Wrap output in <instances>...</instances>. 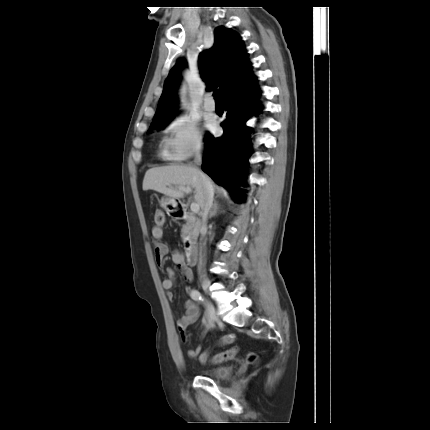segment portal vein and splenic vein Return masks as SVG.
I'll return each instance as SVG.
<instances>
[{
    "label": "portal vein and splenic vein",
    "mask_w": 430,
    "mask_h": 430,
    "mask_svg": "<svg viewBox=\"0 0 430 430\" xmlns=\"http://www.w3.org/2000/svg\"><path fill=\"white\" fill-rule=\"evenodd\" d=\"M178 189L181 190V191H184L186 193H190L191 192V187H189V186H187V187L180 186V187H178ZM190 209H191V211L193 213L198 212L199 211V204L196 203V202H192L191 206H190Z\"/></svg>",
    "instance_id": "18ae733b"
}]
</instances>
